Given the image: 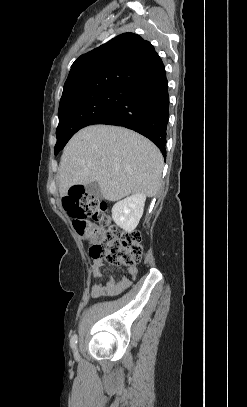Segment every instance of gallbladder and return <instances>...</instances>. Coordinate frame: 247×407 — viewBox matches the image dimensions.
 I'll use <instances>...</instances> for the list:
<instances>
[{
  "label": "gallbladder",
  "instance_id": "obj_1",
  "mask_svg": "<svg viewBox=\"0 0 247 407\" xmlns=\"http://www.w3.org/2000/svg\"><path fill=\"white\" fill-rule=\"evenodd\" d=\"M86 192L95 198V200H101L102 199V193L101 189L99 187V184L97 182H92L86 185Z\"/></svg>",
  "mask_w": 247,
  "mask_h": 407
}]
</instances>
